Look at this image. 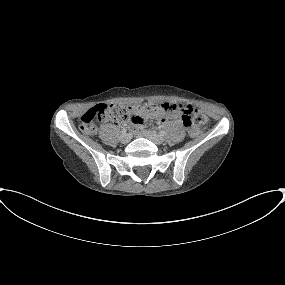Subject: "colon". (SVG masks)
<instances>
[{"instance_id":"1","label":"colon","mask_w":285,"mask_h":285,"mask_svg":"<svg viewBox=\"0 0 285 285\" xmlns=\"http://www.w3.org/2000/svg\"><path fill=\"white\" fill-rule=\"evenodd\" d=\"M158 110V104H98L86 110L80 118V129L86 135H91L96 131V120L100 122H133L140 116L154 113ZM175 110L181 114L185 126L191 134H195L196 125L207 123L208 117L205 113L194 109L191 105L178 104Z\"/></svg>"}]
</instances>
